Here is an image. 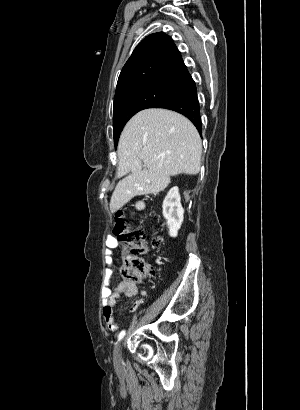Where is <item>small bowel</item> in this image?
Masks as SVG:
<instances>
[{
    "label": "small bowel",
    "mask_w": 300,
    "mask_h": 410,
    "mask_svg": "<svg viewBox=\"0 0 300 410\" xmlns=\"http://www.w3.org/2000/svg\"><path fill=\"white\" fill-rule=\"evenodd\" d=\"M106 246L111 251L118 247L117 240L109 236L106 239ZM122 253H126L125 249H122ZM115 269V262L111 257V254H108L107 267L105 271V280L102 287V316L111 330H115L118 327V322L114 317L113 308L116 303L123 297H134L137 296V299L131 305L129 311H136L139 306L143 303L144 298L146 297V292L140 290L138 285L133 282L120 281L116 287H111V277Z\"/></svg>",
    "instance_id": "small-bowel-1"
}]
</instances>
